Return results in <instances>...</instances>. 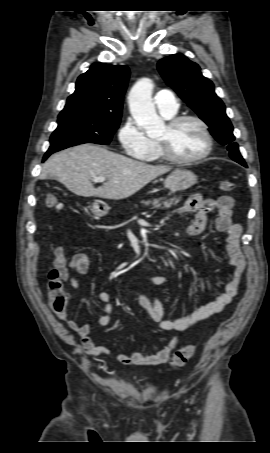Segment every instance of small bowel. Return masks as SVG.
Listing matches in <instances>:
<instances>
[{"instance_id": "small-bowel-1", "label": "small bowel", "mask_w": 270, "mask_h": 453, "mask_svg": "<svg viewBox=\"0 0 270 453\" xmlns=\"http://www.w3.org/2000/svg\"><path fill=\"white\" fill-rule=\"evenodd\" d=\"M234 200L231 196H221L216 200L203 199L199 195H193L185 202L181 213L194 212V218L189 225L187 232L191 237L198 236L205 228L206 215L209 212H216L215 228L219 232L227 234L225 249L228 255L229 264L234 269L233 277L227 283L224 293L217 296L213 301H210L191 312L188 315H183L175 318H167L162 301L152 294L151 301L145 292H140L138 300L147 312L149 317L156 322L163 331L183 332L190 327L206 321L212 315L221 312L228 306L233 297L238 293L242 275L246 268V260L241 248L242 227L232 220ZM53 264L55 270L59 272L61 279L68 282L74 289L81 290V285L76 277L70 272L75 271L79 275L87 274L90 266V260L86 253H75L72 258L67 261L64 249L62 246H56L53 249ZM168 281V276L165 274L155 275L148 279V283L152 289L163 285ZM98 302L104 308V314L97 319V325L100 327L107 326L111 321L113 306L111 304L110 294L102 291L97 295ZM67 326L76 332L80 337L81 344L85 352L91 356L107 355L111 352L110 347L106 345H96L90 337L92 326L83 324L79 321L69 318L67 313L58 315ZM178 343L177 339H173L166 347L158 350L153 354H143L141 352L132 351L130 353H119L117 360L123 365H139V366H156L168 362L173 350Z\"/></svg>"}]
</instances>
